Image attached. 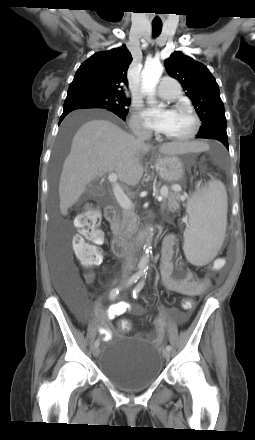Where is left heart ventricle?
Masks as SVG:
<instances>
[{
  "label": "left heart ventricle",
  "instance_id": "obj_1",
  "mask_svg": "<svg viewBox=\"0 0 255 440\" xmlns=\"http://www.w3.org/2000/svg\"><path fill=\"white\" fill-rule=\"evenodd\" d=\"M193 127V121L190 115L183 110H175L172 123L166 135L172 137H181L186 135Z\"/></svg>",
  "mask_w": 255,
  "mask_h": 440
}]
</instances>
